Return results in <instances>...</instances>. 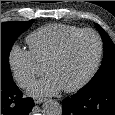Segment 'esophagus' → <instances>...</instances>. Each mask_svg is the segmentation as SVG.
I'll return each mask as SVG.
<instances>
[{"label": "esophagus", "instance_id": "esophagus-1", "mask_svg": "<svg viewBox=\"0 0 115 115\" xmlns=\"http://www.w3.org/2000/svg\"><path fill=\"white\" fill-rule=\"evenodd\" d=\"M45 100H46L45 98H34L35 104H40V103L44 102Z\"/></svg>", "mask_w": 115, "mask_h": 115}]
</instances>
